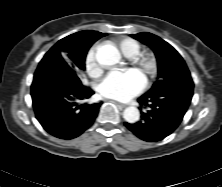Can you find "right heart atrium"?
Returning <instances> with one entry per match:
<instances>
[{
	"mask_svg": "<svg viewBox=\"0 0 222 187\" xmlns=\"http://www.w3.org/2000/svg\"><path fill=\"white\" fill-rule=\"evenodd\" d=\"M96 50L97 45L92 46L88 50L84 62L87 73L92 77L97 76L101 72L100 65L96 59Z\"/></svg>",
	"mask_w": 222,
	"mask_h": 187,
	"instance_id": "d8ad5b80",
	"label": "right heart atrium"
}]
</instances>
